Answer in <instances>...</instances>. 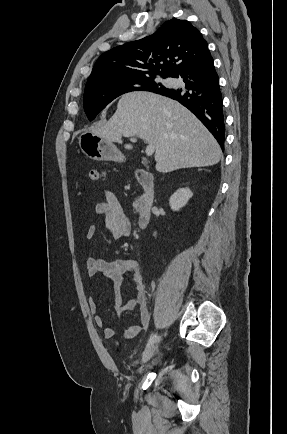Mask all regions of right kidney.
Instances as JSON below:
<instances>
[{
    "label": "right kidney",
    "instance_id": "obj_1",
    "mask_svg": "<svg viewBox=\"0 0 287 434\" xmlns=\"http://www.w3.org/2000/svg\"><path fill=\"white\" fill-rule=\"evenodd\" d=\"M192 196L193 193L189 188H180L170 197L169 205L173 211H178Z\"/></svg>",
    "mask_w": 287,
    "mask_h": 434
}]
</instances>
